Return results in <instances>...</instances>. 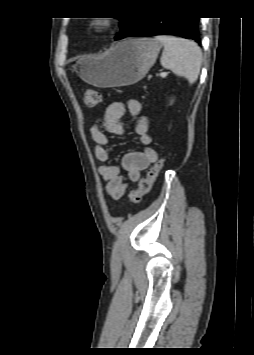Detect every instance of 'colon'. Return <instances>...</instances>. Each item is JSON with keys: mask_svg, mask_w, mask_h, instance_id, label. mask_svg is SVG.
I'll return each mask as SVG.
<instances>
[{"mask_svg": "<svg viewBox=\"0 0 254 355\" xmlns=\"http://www.w3.org/2000/svg\"><path fill=\"white\" fill-rule=\"evenodd\" d=\"M102 101L101 94L94 89H84L82 93V102L88 108L98 106ZM166 159L164 157L158 159L154 165L148 170L145 178L139 180L138 188L130 193V203L137 204L142 197L148 194L160 171L164 167Z\"/></svg>", "mask_w": 254, "mask_h": 355, "instance_id": "1", "label": "colon"}]
</instances>
